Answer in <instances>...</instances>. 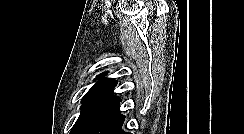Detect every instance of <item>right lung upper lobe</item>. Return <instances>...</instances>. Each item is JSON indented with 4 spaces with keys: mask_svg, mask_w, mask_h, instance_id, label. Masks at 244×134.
<instances>
[{
    "mask_svg": "<svg viewBox=\"0 0 244 134\" xmlns=\"http://www.w3.org/2000/svg\"><path fill=\"white\" fill-rule=\"evenodd\" d=\"M107 75V72L97 76L99 79L92 88L86 93L82 99V105L93 102L120 100L119 97L114 95L113 89L115 88L117 81L114 79L103 78Z\"/></svg>",
    "mask_w": 244,
    "mask_h": 134,
    "instance_id": "cb5924a9",
    "label": "right lung upper lobe"
}]
</instances>
